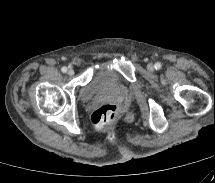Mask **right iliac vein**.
Segmentation results:
<instances>
[{
	"label": "right iliac vein",
	"instance_id": "1",
	"mask_svg": "<svg viewBox=\"0 0 215 183\" xmlns=\"http://www.w3.org/2000/svg\"><path fill=\"white\" fill-rule=\"evenodd\" d=\"M67 73L69 76H73L75 74L73 69H69Z\"/></svg>",
	"mask_w": 215,
	"mask_h": 183
}]
</instances>
